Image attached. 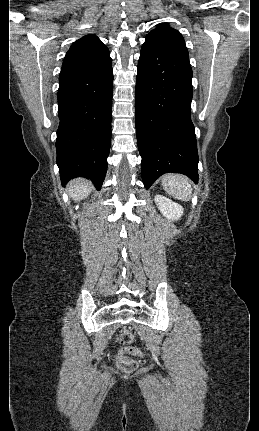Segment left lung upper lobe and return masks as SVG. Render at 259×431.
<instances>
[{
    "mask_svg": "<svg viewBox=\"0 0 259 431\" xmlns=\"http://www.w3.org/2000/svg\"><path fill=\"white\" fill-rule=\"evenodd\" d=\"M146 41L152 42L162 48L189 59L182 35L167 23L157 25L149 34L146 35Z\"/></svg>",
    "mask_w": 259,
    "mask_h": 431,
    "instance_id": "1",
    "label": "left lung upper lobe"
}]
</instances>
